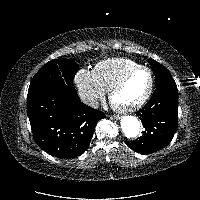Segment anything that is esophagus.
<instances>
[{
	"label": "esophagus",
	"mask_w": 200,
	"mask_h": 200,
	"mask_svg": "<svg viewBox=\"0 0 200 200\" xmlns=\"http://www.w3.org/2000/svg\"><path fill=\"white\" fill-rule=\"evenodd\" d=\"M110 118L114 119V120H119L120 116H118V115H111Z\"/></svg>",
	"instance_id": "esophagus-1"
}]
</instances>
